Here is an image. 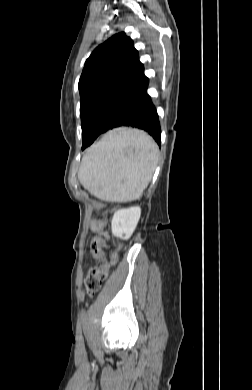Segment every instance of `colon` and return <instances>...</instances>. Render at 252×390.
Listing matches in <instances>:
<instances>
[{"mask_svg": "<svg viewBox=\"0 0 252 390\" xmlns=\"http://www.w3.org/2000/svg\"><path fill=\"white\" fill-rule=\"evenodd\" d=\"M106 219L97 221V232L98 235L93 238L91 243V251L95 258H101L103 254V249L108 247L109 236L105 231ZM117 260V252L114 251L111 255V262L115 263ZM109 264H103L97 267H93L89 270L85 288L86 292L89 295L96 293L100 287L102 281H104L108 276Z\"/></svg>", "mask_w": 252, "mask_h": 390, "instance_id": "colon-1", "label": "colon"}]
</instances>
